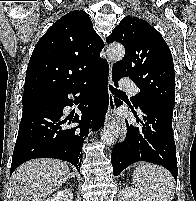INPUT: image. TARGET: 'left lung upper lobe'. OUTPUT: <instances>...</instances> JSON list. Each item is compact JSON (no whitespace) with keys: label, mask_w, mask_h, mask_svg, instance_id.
<instances>
[{"label":"left lung upper lobe","mask_w":196,"mask_h":201,"mask_svg":"<svg viewBox=\"0 0 196 201\" xmlns=\"http://www.w3.org/2000/svg\"><path fill=\"white\" fill-rule=\"evenodd\" d=\"M121 42L124 58L112 67V77H131L140 89L131 102L155 101L174 108L175 74L172 55L158 31L145 20L127 16L106 38Z\"/></svg>","instance_id":"obj_1"}]
</instances>
